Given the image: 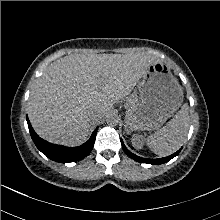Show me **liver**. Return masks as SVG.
Listing matches in <instances>:
<instances>
[{"mask_svg": "<svg viewBox=\"0 0 220 220\" xmlns=\"http://www.w3.org/2000/svg\"><path fill=\"white\" fill-rule=\"evenodd\" d=\"M155 62L144 53L71 54L54 61L30 94L27 109L34 130L51 143L81 145L98 121L91 112L103 116Z\"/></svg>", "mask_w": 220, "mask_h": 220, "instance_id": "liver-1", "label": "liver"}]
</instances>
